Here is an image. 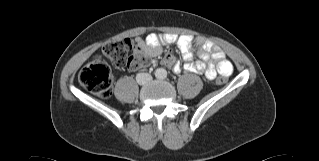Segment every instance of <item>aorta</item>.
<instances>
[{
    "label": "aorta",
    "instance_id": "obj_1",
    "mask_svg": "<svg viewBox=\"0 0 319 161\" xmlns=\"http://www.w3.org/2000/svg\"><path fill=\"white\" fill-rule=\"evenodd\" d=\"M155 75H156V77H158V78H164V77H166L167 72H166L165 69L159 68V69L156 70Z\"/></svg>",
    "mask_w": 319,
    "mask_h": 161
}]
</instances>
